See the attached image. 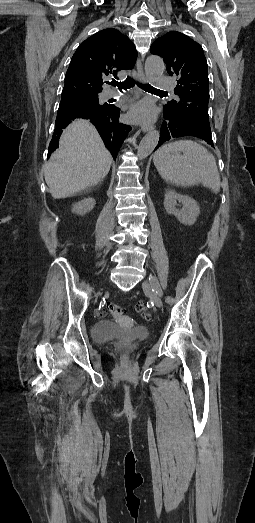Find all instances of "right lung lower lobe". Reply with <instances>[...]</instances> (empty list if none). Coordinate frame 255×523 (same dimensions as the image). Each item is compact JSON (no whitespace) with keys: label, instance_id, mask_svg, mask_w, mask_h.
Wrapping results in <instances>:
<instances>
[{"label":"right lung lower lobe","instance_id":"1","mask_svg":"<svg viewBox=\"0 0 255 523\" xmlns=\"http://www.w3.org/2000/svg\"><path fill=\"white\" fill-rule=\"evenodd\" d=\"M81 115H82L83 117H86V116L88 115V112H87L86 110H83V111L81 112Z\"/></svg>","mask_w":255,"mask_h":523}]
</instances>
